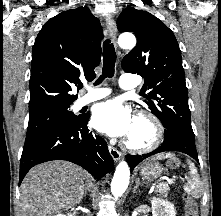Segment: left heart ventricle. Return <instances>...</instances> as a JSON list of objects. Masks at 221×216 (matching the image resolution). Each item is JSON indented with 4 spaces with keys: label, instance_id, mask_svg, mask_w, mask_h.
<instances>
[{
    "label": "left heart ventricle",
    "instance_id": "1",
    "mask_svg": "<svg viewBox=\"0 0 221 216\" xmlns=\"http://www.w3.org/2000/svg\"><path fill=\"white\" fill-rule=\"evenodd\" d=\"M151 134V128L146 122L134 120L128 137L133 143L142 144L150 141Z\"/></svg>",
    "mask_w": 221,
    "mask_h": 216
}]
</instances>
